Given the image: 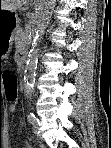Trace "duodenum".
I'll use <instances>...</instances> for the list:
<instances>
[{"mask_svg":"<svg viewBox=\"0 0 111 148\" xmlns=\"http://www.w3.org/2000/svg\"><path fill=\"white\" fill-rule=\"evenodd\" d=\"M20 62H21V64H22L23 66L25 65V63H26V58H25V56L20 55Z\"/></svg>","mask_w":111,"mask_h":148,"instance_id":"410a0bca","label":"duodenum"}]
</instances>
